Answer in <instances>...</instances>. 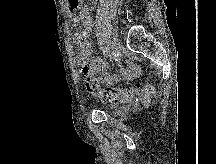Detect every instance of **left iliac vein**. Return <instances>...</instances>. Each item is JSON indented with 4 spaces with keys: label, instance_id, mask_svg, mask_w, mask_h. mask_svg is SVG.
<instances>
[{
    "label": "left iliac vein",
    "instance_id": "1",
    "mask_svg": "<svg viewBox=\"0 0 216 164\" xmlns=\"http://www.w3.org/2000/svg\"><path fill=\"white\" fill-rule=\"evenodd\" d=\"M111 45L114 47V49L116 50L115 52L118 54L120 51L121 44L119 39L116 36L113 37L111 41Z\"/></svg>",
    "mask_w": 216,
    "mask_h": 164
}]
</instances>
